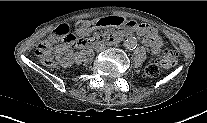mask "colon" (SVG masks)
I'll list each match as a JSON object with an SVG mask.
<instances>
[{
	"mask_svg": "<svg viewBox=\"0 0 207 123\" xmlns=\"http://www.w3.org/2000/svg\"><path fill=\"white\" fill-rule=\"evenodd\" d=\"M63 41L66 43L75 42V38L67 24L59 25L51 38L39 44L36 55L39 60L48 67H55L56 63L52 58L54 43ZM86 41L79 40L78 43L84 44ZM178 54L174 50H167L159 61L150 62L144 70V73L149 78L156 77L161 71L167 70L177 63Z\"/></svg>",
	"mask_w": 207,
	"mask_h": 123,
	"instance_id": "obj_1",
	"label": "colon"
}]
</instances>
